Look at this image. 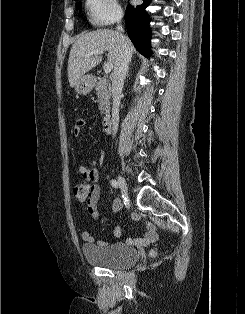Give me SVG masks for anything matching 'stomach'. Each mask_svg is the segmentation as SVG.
<instances>
[{"mask_svg":"<svg viewBox=\"0 0 245 314\" xmlns=\"http://www.w3.org/2000/svg\"><path fill=\"white\" fill-rule=\"evenodd\" d=\"M93 77L90 75L82 76L75 85V91L80 95L88 94L94 86Z\"/></svg>","mask_w":245,"mask_h":314,"instance_id":"stomach-1","label":"stomach"}]
</instances>
